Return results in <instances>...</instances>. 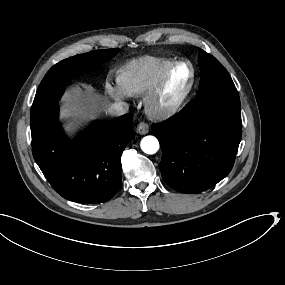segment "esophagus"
Here are the masks:
<instances>
[{
	"mask_svg": "<svg viewBox=\"0 0 285 285\" xmlns=\"http://www.w3.org/2000/svg\"><path fill=\"white\" fill-rule=\"evenodd\" d=\"M137 132L139 134H147L149 132V126L144 122H140L137 125Z\"/></svg>",
	"mask_w": 285,
	"mask_h": 285,
	"instance_id": "obj_1",
	"label": "esophagus"
}]
</instances>
